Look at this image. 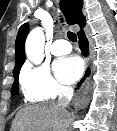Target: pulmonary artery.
Here are the masks:
<instances>
[{"instance_id":"obj_1","label":"pulmonary artery","mask_w":117,"mask_h":131,"mask_svg":"<svg viewBox=\"0 0 117 131\" xmlns=\"http://www.w3.org/2000/svg\"><path fill=\"white\" fill-rule=\"evenodd\" d=\"M72 47L70 43L64 39H58L51 45V52L53 55L61 56L71 52Z\"/></svg>"}]
</instances>
